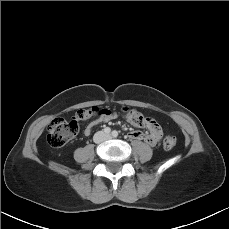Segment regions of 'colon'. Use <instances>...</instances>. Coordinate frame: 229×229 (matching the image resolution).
<instances>
[{"label":"colon","mask_w":229,"mask_h":229,"mask_svg":"<svg viewBox=\"0 0 229 229\" xmlns=\"http://www.w3.org/2000/svg\"><path fill=\"white\" fill-rule=\"evenodd\" d=\"M102 111L98 107L90 109H82L75 113L72 120L67 121L61 118H56L48 125L47 128V143L52 147H62L67 141L78 131L79 123L87 120ZM123 112L127 121L136 126H144L147 118L142 113L131 107H124ZM177 144L175 135H167L163 140L165 149H173Z\"/></svg>","instance_id":"5ec220e1"}]
</instances>
